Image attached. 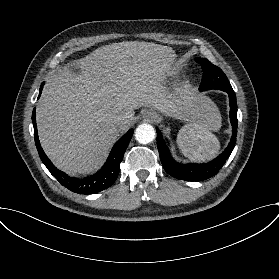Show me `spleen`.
I'll return each mask as SVG.
<instances>
[{
	"label": "spleen",
	"mask_w": 279,
	"mask_h": 279,
	"mask_svg": "<svg viewBox=\"0 0 279 279\" xmlns=\"http://www.w3.org/2000/svg\"><path fill=\"white\" fill-rule=\"evenodd\" d=\"M203 117L183 127L178 135V145L183 153L194 160H206L219 152V143L211 131L220 128L221 118L216 106L204 98Z\"/></svg>",
	"instance_id": "1"
}]
</instances>
